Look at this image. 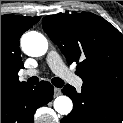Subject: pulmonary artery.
Masks as SVG:
<instances>
[{
  "label": "pulmonary artery",
  "instance_id": "obj_1",
  "mask_svg": "<svg viewBox=\"0 0 123 123\" xmlns=\"http://www.w3.org/2000/svg\"><path fill=\"white\" fill-rule=\"evenodd\" d=\"M46 62L51 70L61 79L74 85L75 87H80L82 85V80L66 67L56 51L51 50L48 52ZM36 73L37 70H27L25 72L28 76L35 75Z\"/></svg>",
  "mask_w": 123,
  "mask_h": 123
}]
</instances>
